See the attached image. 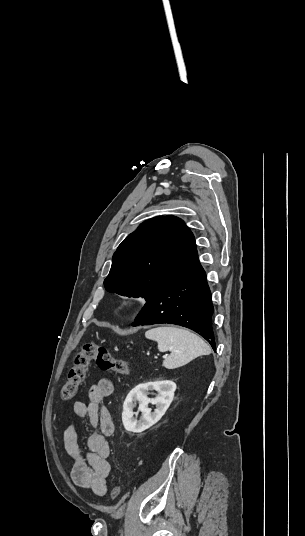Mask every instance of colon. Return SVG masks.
Returning <instances> with one entry per match:
<instances>
[{
	"mask_svg": "<svg viewBox=\"0 0 305 536\" xmlns=\"http://www.w3.org/2000/svg\"><path fill=\"white\" fill-rule=\"evenodd\" d=\"M94 360L103 370H111L121 375H128L130 364L123 359L114 358L107 349L92 341L82 343L81 348L74 354L72 365L68 372V380L63 384L61 397L64 401L74 398L77 389L85 382L89 363ZM120 493L118 485L113 486L111 498L115 500Z\"/></svg>",
	"mask_w": 305,
	"mask_h": 536,
	"instance_id": "1",
	"label": "colon"
}]
</instances>
